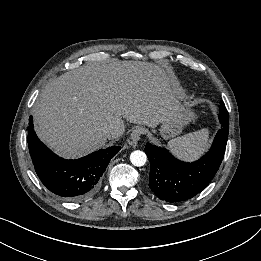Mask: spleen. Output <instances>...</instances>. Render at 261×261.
<instances>
[{"label":"spleen","instance_id":"obj_1","mask_svg":"<svg viewBox=\"0 0 261 261\" xmlns=\"http://www.w3.org/2000/svg\"><path fill=\"white\" fill-rule=\"evenodd\" d=\"M208 144L209 131L204 128L170 140L168 147L178 157L191 160L198 157Z\"/></svg>","mask_w":261,"mask_h":261}]
</instances>
